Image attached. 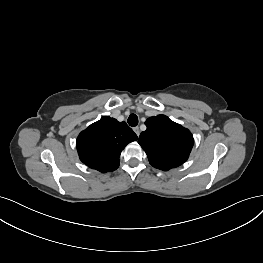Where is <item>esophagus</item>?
Listing matches in <instances>:
<instances>
[{
	"label": "esophagus",
	"mask_w": 263,
	"mask_h": 263,
	"mask_svg": "<svg viewBox=\"0 0 263 263\" xmlns=\"http://www.w3.org/2000/svg\"><path fill=\"white\" fill-rule=\"evenodd\" d=\"M133 130H134V132L136 133L137 136L140 135V129H139V127H134Z\"/></svg>",
	"instance_id": "obj_1"
}]
</instances>
